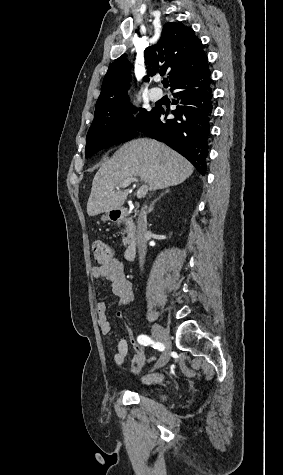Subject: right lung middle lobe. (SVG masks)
Segmentation results:
<instances>
[{"label": "right lung middle lobe", "instance_id": "right-lung-middle-lobe-1", "mask_svg": "<svg viewBox=\"0 0 283 475\" xmlns=\"http://www.w3.org/2000/svg\"><path fill=\"white\" fill-rule=\"evenodd\" d=\"M140 111L136 117L132 113ZM151 111L137 109L128 102L95 108L94 120L87 133L85 157L96 152L129 140L136 136L154 115Z\"/></svg>", "mask_w": 283, "mask_h": 475}]
</instances>
